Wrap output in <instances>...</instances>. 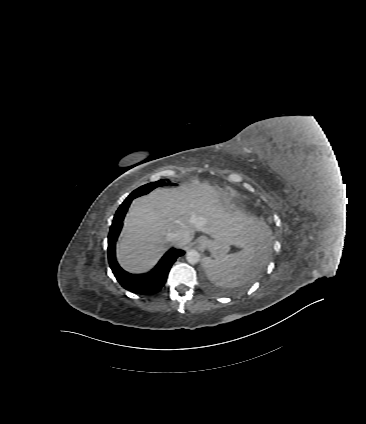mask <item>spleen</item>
<instances>
[{
    "instance_id": "spleen-1",
    "label": "spleen",
    "mask_w": 366,
    "mask_h": 424,
    "mask_svg": "<svg viewBox=\"0 0 366 424\" xmlns=\"http://www.w3.org/2000/svg\"><path fill=\"white\" fill-rule=\"evenodd\" d=\"M263 257L264 250L252 245L223 257L215 259L207 257L204 267L209 280L215 285L234 288L255 276Z\"/></svg>"
}]
</instances>
